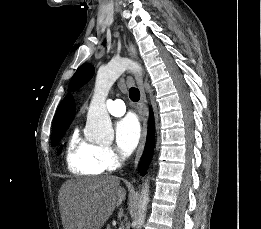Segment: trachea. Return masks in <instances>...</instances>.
Instances as JSON below:
<instances>
[{
  "mask_svg": "<svg viewBox=\"0 0 261 229\" xmlns=\"http://www.w3.org/2000/svg\"><path fill=\"white\" fill-rule=\"evenodd\" d=\"M129 98L133 100V102H138V100L140 99L139 90L135 87H131V89H129Z\"/></svg>",
  "mask_w": 261,
  "mask_h": 229,
  "instance_id": "1",
  "label": "trachea"
}]
</instances>
